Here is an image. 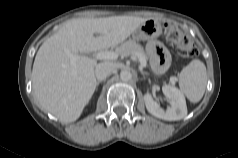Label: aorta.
<instances>
[{"mask_svg": "<svg viewBox=\"0 0 238 158\" xmlns=\"http://www.w3.org/2000/svg\"><path fill=\"white\" fill-rule=\"evenodd\" d=\"M120 78H121L122 81L127 82V81L131 80L132 74L129 71H127V70H123L120 73Z\"/></svg>", "mask_w": 238, "mask_h": 158, "instance_id": "aorta-1", "label": "aorta"}]
</instances>
